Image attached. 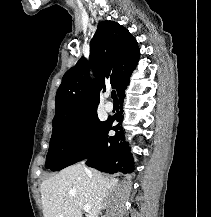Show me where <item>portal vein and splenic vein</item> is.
Returning <instances> with one entry per match:
<instances>
[{"label":"portal vein and splenic vein","mask_w":211,"mask_h":217,"mask_svg":"<svg viewBox=\"0 0 211 217\" xmlns=\"http://www.w3.org/2000/svg\"><path fill=\"white\" fill-rule=\"evenodd\" d=\"M83 210H84L85 212H89V211H90V206H89V205H84V206H83Z\"/></svg>","instance_id":"1"}]
</instances>
